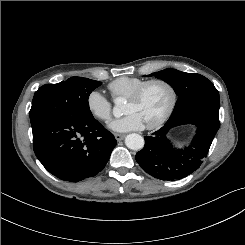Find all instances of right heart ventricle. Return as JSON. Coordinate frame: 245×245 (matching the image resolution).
<instances>
[{
	"mask_svg": "<svg viewBox=\"0 0 245 245\" xmlns=\"http://www.w3.org/2000/svg\"><path fill=\"white\" fill-rule=\"evenodd\" d=\"M146 81L139 77L122 76L109 83L108 88L113 98H127Z\"/></svg>",
	"mask_w": 245,
	"mask_h": 245,
	"instance_id": "1",
	"label": "right heart ventricle"
}]
</instances>
